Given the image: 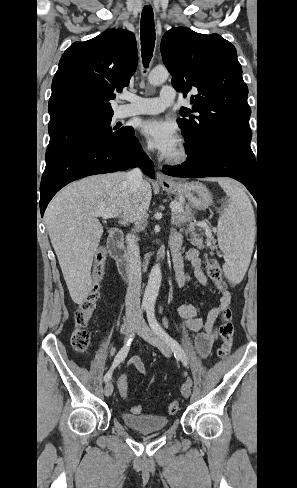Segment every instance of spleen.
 Returning <instances> with one entry per match:
<instances>
[{
    "label": "spleen",
    "instance_id": "3e777b00",
    "mask_svg": "<svg viewBox=\"0 0 297 488\" xmlns=\"http://www.w3.org/2000/svg\"><path fill=\"white\" fill-rule=\"evenodd\" d=\"M220 186L229 197L228 206L218 220V243L224 253L225 276L238 284L250 264L255 241V217L244 190L232 180L220 179Z\"/></svg>",
    "mask_w": 297,
    "mask_h": 488
}]
</instances>
